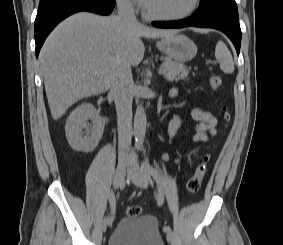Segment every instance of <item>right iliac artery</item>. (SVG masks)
<instances>
[{
    "label": "right iliac artery",
    "mask_w": 283,
    "mask_h": 245,
    "mask_svg": "<svg viewBox=\"0 0 283 245\" xmlns=\"http://www.w3.org/2000/svg\"><path fill=\"white\" fill-rule=\"evenodd\" d=\"M109 202L111 207V215L109 216V218L111 219V222H113L115 209H116V198L113 191H111L109 194Z\"/></svg>",
    "instance_id": "right-iliac-artery-1"
}]
</instances>
